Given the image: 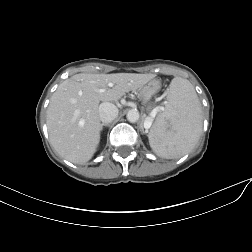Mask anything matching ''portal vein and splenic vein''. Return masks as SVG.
Masks as SVG:
<instances>
[{
	"mask_svg": "<svg viewBox=\"0 0 252 252\" xmlns=\"http://www.w3.org/2000/svg\"><path fill=\"white\" fill-rule=\"evenodd\" d=\"M109 86H111V85L109 84ZM99 91H100V92H104L105 90H104V89H100ZM157 111H158V109H153V110L151 111V113H150V116H147V117L145 118L144 126H145L146 128H149V127L151 126L152 121H153V118L156 116Z\"/></svg>",
	"mask_w": 252,
	"mask_h": 252,
	"instance_id": "1",
	"label": "portal vein and splenic vein"
}]
</instances>
